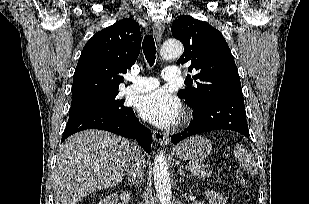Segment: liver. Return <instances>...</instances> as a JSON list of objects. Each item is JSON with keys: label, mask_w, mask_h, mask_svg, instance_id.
<instances>
[{"label": "liver", "mask_w": 309, "mask_h": 204, "mask_svg": "<svg viewBox=\"0 0 309 204\" xmlns=\"http://www.w3.org/2000/svg\"><path fill=\"white\" fill-rule=\"evenodd\" d=\"M139 150L128 139L99 130H85L60 147L53 173L55 204H76L96 190L120 183Z\"/></svg>", "instance_id": "1"}]
</instances>
